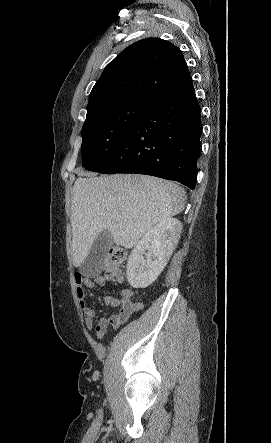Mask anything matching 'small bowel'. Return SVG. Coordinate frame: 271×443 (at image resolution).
Segmentation results:
<instances>
[{
    "mask_svg": "<svg viewBox=\"0 0 271 443\" xmlns=\"http://www.w3.org/2000/svg\"><path fill=\"white\" fill-rule=\"evenodd\" d=\"M74 281L79 305L84 315L85 326L88 330L94 329L97 338L100 340L105 338L109 326L113 328L120 327L122 324L127 322V320L134 313L142 309V303L140 301L133 300L132 290L123 289L120 292L119 297L106 296L104 298V303L108 308H118V311L108 314L101 318L98 322H95L96 311L87 303L85 288L93 289L103 287L106 284V279L101 274L86 276L76 273L74 276Z\"/></svg>",
    "mask_w": 271,
    "mask_h": 443,
    "instance_id": "1",
    "label": "small bowel"
}]
</instances>
